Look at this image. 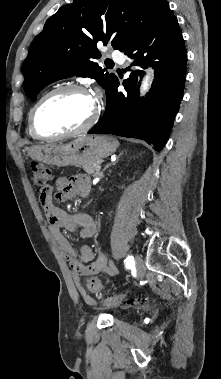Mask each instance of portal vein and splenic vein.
<instances>
[{
  "label": "portal vein and splenic vein",
  "instance_id": "1",
  "mask_svg": "<svg viewBox=\"0 0 221 379\" xmlns=\"http://www.w3.org/2000/svg\"><path fill=\"white\" fill-rule=\"evenodd\" d=\"M100 169H101V167L99 166V167H98V170H100Z\"/></svg>",
  "mask_w": 221,
  "mask_h": 379
}]
</instances>
